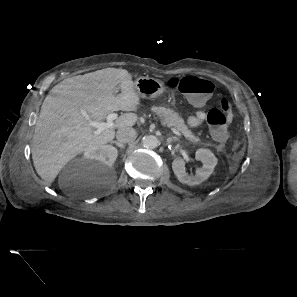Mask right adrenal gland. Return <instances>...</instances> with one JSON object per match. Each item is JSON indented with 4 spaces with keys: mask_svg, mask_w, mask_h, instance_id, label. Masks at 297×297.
Returning <instances> with one entry per match:
<instances>
[{
    "mask_svg": "<svg viewBox=\"0 0 297 297\" xmlns=\"http://www.w3.org/2000/svg\"><path fill=\"white\" fill-rule=\"evenodd\" d=\"M112 144H115L117 147H119L121 150H123L125 148V146L117 141H111Z\"/></svg>",
    "mask_w": 297,
    "mask_h": 297,
    "instance_id": "1",
    "label": "right adrenal gland"
}]
</instances>
